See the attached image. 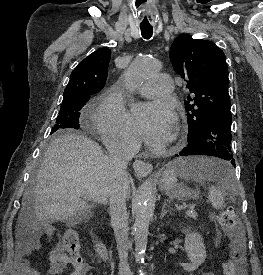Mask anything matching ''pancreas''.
Returning a JSON list of instances; mask_svg holds the SVG:
<instances>
[{"label":"pancreas","mask_w":263,"mask_h":275,"mask_svg":"<svg viewBox=\"0 0 263 275\" xmlns=\"http://www.w3.org/2000/svg\"><path fill=\"white\" fill-rule=\"evenodd\" d=\"M186 216L189 218L196 219L198 215L194 210H188L186 211Z\"/></svg>","instance_id":"cf45deb5"}]
</instances>
